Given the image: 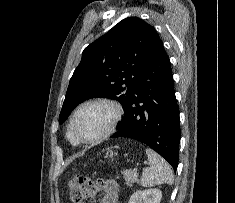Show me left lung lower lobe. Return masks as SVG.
Listing matches in <instances>:
<instances>
[{
  "label": "left lung lower lobe",
  "mask_w": 235,
  "mask_h": 203,
  "mask_svg": "<svg viewBox=\"0 0 235 203\" xmlns=\"http://www.w3.org/2000/svg\"><path fill=\"white\" fill-rule=\"evenodd\" d=\"M111 138L141 141L165 158L176 171L180 143L179 109L175 98L170 60L162 41L136 85Z\"/></svg>",
  "instance_id": "1"
}]
</instances>
